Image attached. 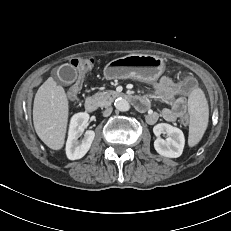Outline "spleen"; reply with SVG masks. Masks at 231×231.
Instances as JSON below:
<instances>
[{
	"label": "spleen",
	"mask_w": 231,
	"mask_h": 231,
	"mask_svg": "<svg viewBox=\"0 0 231 231\" xmlns=\"http://www.w3.org/2000/svg\"><path fill=\"white\" fill-rule=\"evenodd\" d=\"M190 114L189 138L190 146L196 145L204 135L208 125L209 108L203 91L195 88L188 99Z\"/></svg>",
	"instance_id": "obj_1"
}]
</instances>
